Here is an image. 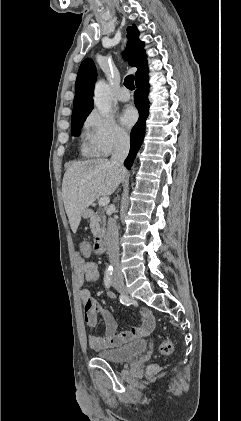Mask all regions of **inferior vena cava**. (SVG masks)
Here are the masks:
<instances>
[{
  "instance_id": "inferior-vena-cava-1",
  "label": "inferior vena cava",
  "mask_w": 241,
  "mask_h": 421,
  "mask_svg": "<svg viewBox=\"0 0 241 421\" xmlns=\"http://www.w3.org/2000/svg\"><path fill=\"white\" fill-rule=\"evenodd\" d=\"M130 142L129 136L122 135L120 136L115 144L111 164L118 167L119 169H124L123 162L129 153ZM118 228L116 221L113 218L108 219L106 241H107V251L109 255V261L113 267V277L122 278V272L119 264V242H118Z\"/></svg>"
}]
</instances>
